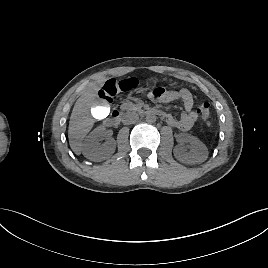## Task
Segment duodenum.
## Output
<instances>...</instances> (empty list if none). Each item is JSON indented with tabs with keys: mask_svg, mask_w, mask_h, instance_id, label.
<instances>
[{
	"mask_svg": "<svg viewBox=\"0 0 268 268\" xmlns=\"http://www.w3.org/2000/svg\"><path fill=\"white\" fill-rule=\"evenodd\" d=\"M148 112L154 115L164 116V113L159 110L151 109L148 110ZM120 119H121V112L118 109H113L111 111L109 118L107 119V124L115 125L120 121Z\"/></svg>",
	"mask_w": 268,
	"mask_h": 268,
	"instance_id": "duodenum-1",
	"label": "duodenum"
}]
</instances>
